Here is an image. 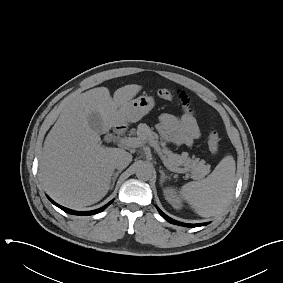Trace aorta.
<instances>
[{
  "label": "aorta",
  "instance_id": "1",
  "mask_svg": "<svg viewBox=\"0 0 283 283\" xmlns=\"http://www.w3.org/2000/svg\"><path fill=\"white\" fill-rule=\"evenodd\" d=\"M136 176L142 180H149L152 177V168L146 163H142L137 167Z\"/></svg>",
  "mask_w": 283,
  "mask_h": 283
}]
</instances>
